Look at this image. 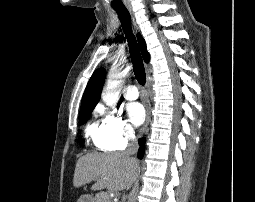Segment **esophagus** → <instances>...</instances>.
Here are the masks:
<instances>
[{
	"mask_svg": "<svg viewBox=\"0 0 255 202\" xmlns=\"http://www.w3.org/2000/svg\"><path fill=\"white\" fill-rule=\"evenodd\" d=\"M129 12L131 14V18H132V21L134 23V25L136 26L135 24V18H134V15H133V12L131 9H129ZM146 68L148 69V65L146 64L145 65ZM150 120H151V103L150 101L147 102V105H146V120L140 130V133H139V136L141 137L144 133H146L148 131V127H149V123H150Z\"/></svg>",
	"mask_w": 255,
	"mask_h": 202,
	"instance_id": "obj_1",
	"label": "esophagus"
}]
</instances>
